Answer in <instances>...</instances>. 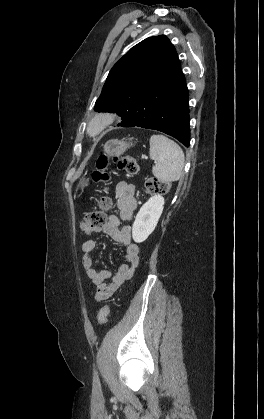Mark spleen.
Returning <instances> with one entry per match:
<instances>
[{
  "label": "spleen",
  "mask_w": 264,
  "mask_h": 419,
  "mask_svg": "<svg viewBox=\"0 0 264 419\" xmlns=\"http://www.w3.org/2000/svg\"><path fill=\"white\" fill-rule=\"evenodd\" d=\"M150 158L155 161L153 175L161 182H174L180 179L185 156L181 147L164 135L150 137Z\"/></svg>",
  "instance_id": "obj_1"
}]
</instances>
